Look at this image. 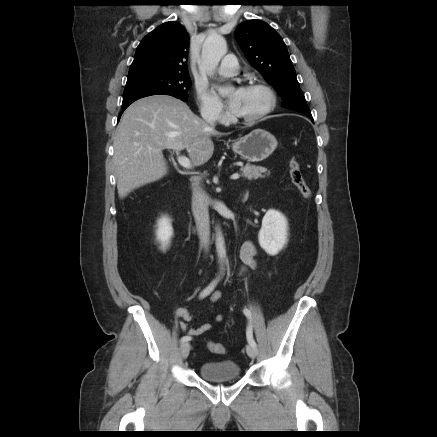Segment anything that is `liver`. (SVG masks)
<instances>
[{
	"label": "liver",
	"instance_id": "obj_1",
	"mask_svg": "<svg viewBox=\"0 0 437 437\" xmlns=\"http://www.w3.org/2000/svg\"><path fill=\"white\" fill-rule=\"evenodd\" d=\"M216 135L221 133L179 99L153 95L135 101L125 110L114 138L120 199L167 174L163 149H186L192 165L200 166L212 157L211 136Z\"/></svg>",
	"mask_w": 437,
	"mask_h": 437
}]
</instances>
